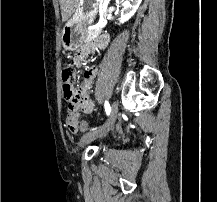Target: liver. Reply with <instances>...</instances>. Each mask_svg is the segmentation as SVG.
Masks as SVG:
<instances>
[{
	"instance_id": "1",
	"label": "liver",
	"mask_w": 217,
	"mask_h": 202,
	"mask_svg": "<svg viewBox=\"0 0 217 202\" xmlns=\"http://www.w3.org/2000/svg\"><path fill=\"white\" fill-rule=\"evenodd\" d=\"M61 6L62 22H66L75 12L78 0H59Z\"/></svg>"
}]
</instances>
